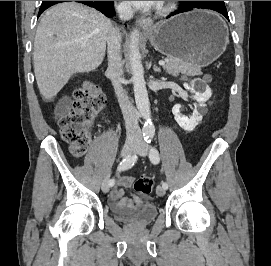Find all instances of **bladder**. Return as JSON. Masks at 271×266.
Masks as SVG:
<instances>
[{
    "label": "bladder",
    "mask_w": 271,
    "mask_h": 266,
    "mask_svg": "<svg viewBox=\"0 0 271 266\" xmlns=\"http://www.w3.org/2000/svg\"><path fill=\"white\" fill-rule=\"evenodd\" d=\"M158 211L155 205L145 204L136 209L133 213L123 216L116 215V220L124 222L137 227H144L149 225L157 216Z\"/></svg>",
    "instance_id": "31cf9c89"
}]
</instances>
